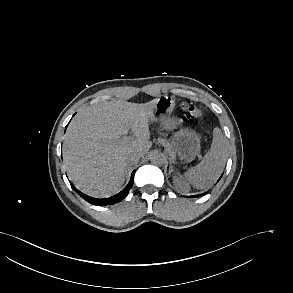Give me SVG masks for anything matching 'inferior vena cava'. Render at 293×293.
I'll return each instance as SVG.
<instances>
[{"label": "inferior vena cava", "instance_id": "obj_1", "mask_svg": "<svg viewBox=\"0 0 293 293\" xmlns=\"http://www.w3.org/2000/svg\"><path fill=\"white\" fill-rule=\"evenodd\" d=\"M141 157H142L141 154L136 153V152H132V153L128 154V156L126 158V162L129 166H132V165L137 164Z\"/></svg>", "mask_w": 293, "mask_h": 293}]
</instances>
